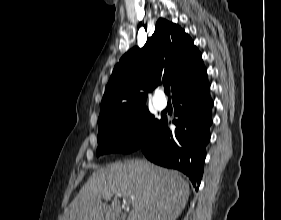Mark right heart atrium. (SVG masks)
<instances>
[{"instance_id":"obj_1","label":"right heart atrium","mask_w":281,"mask_h":220,"mask_svg":"<svg viewBox=\"0 0 281 220\" xmlns=\"http://www.w3.org/2000/svg\"><path fill=\"white\" fill-rule=\"evenodd\" d=\"M141 129H142V124H137L133 127L132 129V135H137L141 132Z\"/></svg>"}]
</instances>
